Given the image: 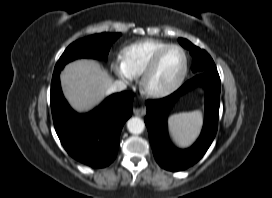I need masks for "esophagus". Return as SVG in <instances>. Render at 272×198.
<instances>
[{
  "label": "esophagus",
  "instance_id": "obj_1",
  "mask_svg": "<svg viewBox=\"0 0 272 198\" xmlns=\"http://www.w3.org/2000/svg\"><path fill=\"white\" fill-rule=\"evenodd\" d=\"M133 113L136 116H144L146 114V109L144 107H138L133 109Z\"/></svg>",
  "mask_w": 272,
  "mask_h": 198
}]
</instances>
